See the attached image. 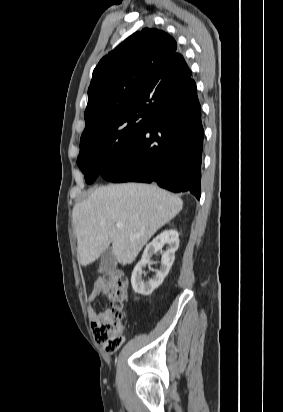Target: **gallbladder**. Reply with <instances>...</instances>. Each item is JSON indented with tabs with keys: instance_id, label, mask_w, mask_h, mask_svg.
Returning a JSON list of instances; mask_svg holds the SVG:
<instances>
[{
	"instance_id": "gallbladder-1",
	"label": "gallbladder",
	"mask_w": 283,
	"mask_h": 412,
	"mask_svg": "<svg viewBox=\"0 0 283 412\" xmlns=\"http://www.w3.org/2000/svg\"><path fill=\"white\" fill-rule=\"evenodd\" d=\"M116 267V258L112 248H108L101 256L100 268L104 272H112Z\"/></svg>"
}]
</instances>
